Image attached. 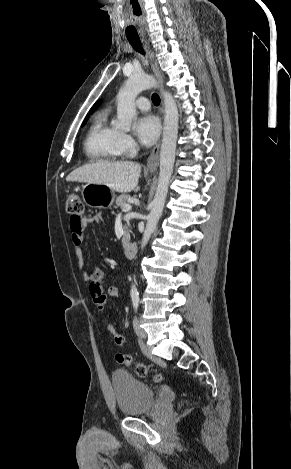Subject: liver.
Instances as JSON below:
<instances>
[{"label": "liver", "mask_w": 291, "mask_h": 469, "mask_svg": "<svg viewBox=\"0 0 291 469\" xmlns=\"http://www.w3.org/2000/svg\"><path fill=\"white\" fill-rule=\"evenodd\" d=\"M141 165L131 161H100L72 171L66 181L104 184L116 192L139 191Z\"/></svg>", "instance_id": "6515ba94"}]
</instances>
